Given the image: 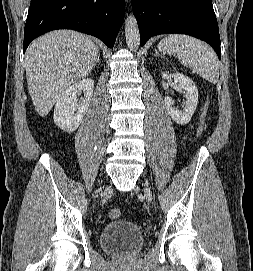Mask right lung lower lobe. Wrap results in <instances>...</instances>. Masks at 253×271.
Returning <instances> with one entry per match:
<instances>
[{"instance_id": "98d812e1", "label": "right lung lower lobe", "mask_w": 253, "mask_h": 271, "mask_svg": "<svg viewBox=\"0 0 253 271\" xmlns=\"http://www.w3.org/2000/svg\"><path fill=\"white\" fill-rule=\"evenodd\" d=\"M124 0H31L24 30V52L36 37L73 29L114 46L123 23Z\"/></svg>"}]
</instances>
